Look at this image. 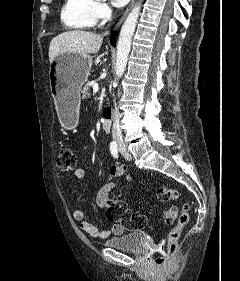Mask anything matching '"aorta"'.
Here are the masks:
<instances>
[{
    "label": "aorta",
    "instance_id": "1",
    "mask_svg": "<svg viewBox=\"0 0 240 281\" xmlns=\"http://www.w3.org/2000/svg\"><path fill=\"white\" fill-rule=\"evenodd\" d=\"M141 9V2L133 7L124 21L117 44V56H116V76L119 78L123 75L128 56L131 49V41L135 32L137 20Z\"/></svg>",
    "mask_w": 240,
    "mask_h": 281
}]
</instances>
